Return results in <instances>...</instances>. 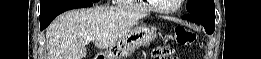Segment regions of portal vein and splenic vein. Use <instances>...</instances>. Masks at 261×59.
I'll return each mask as SVG.
<instances>
[{
  "mask_svg": "<svg viewBox=\"0 0 261 59\" xmlns=\"http://www.w3.org/2000/svg\"><path fill=\"white\" fill-rule=\"evenodd\" d=\"M91 40H93L92 36H86L85 41L86 42H90Z\"/></svg>",
  "mask_w": 261,
  "mask_h": 59,
  "instance_id": "18ae733b",
  "label": "portal vein and splenic vein"
}]
</instances>
